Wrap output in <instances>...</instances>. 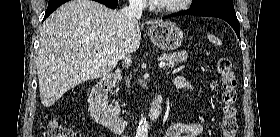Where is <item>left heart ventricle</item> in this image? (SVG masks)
<instances>
[{"label": "left heart ventricle", "instance_id": "1", "mask_svg": "<svg viewBox=\"0 0 280 137\" xmlns=\"http://www.w3.org/2000/svg\"><path fill=\"white\" fill-rule=\"evenodd\" d=\"M158 3L161 5L170 6V5H174V4L178 3V0H159ZM168 27H171V26H168Z\"/></svg>", "mask_w": 280, "mask_h": 137}]
</instances>
